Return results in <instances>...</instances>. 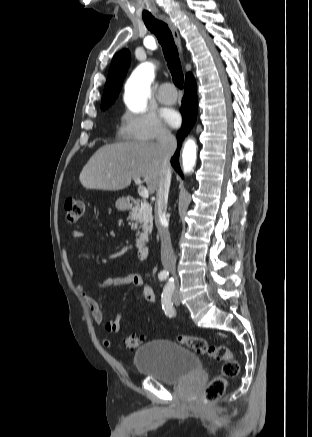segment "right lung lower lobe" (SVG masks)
Segmentation results:
<instances>
[{"label":"right lung lower lobe","mask_w":312,"mask_h":437,"mask_svg":"<svg viewBox=\"0 0 312 437\" xmlns=\"http://www.w3.org/2000/svg\"><path fill=\"white\" fill-rule=\"evenodd\" d=\"M185 94L182 99L181 114L183 116V123L181 129L177 133L178 147L171 159L173 168L183 178L182 171L179 165V149L182 145L184 137L189 133L193 127L197 117V93H196V81L192 74L186 76L184 85Z\"/></svg>","instance_id":"obj_1"}]
</instances>
